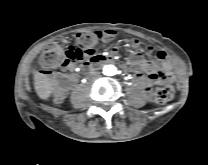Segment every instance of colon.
I'll use <instances>...</instances> for the list:
<instances>
[{"label": "colon", "instance_id": "obj_1", "mask_svg": "<svg viewBox=\"0 0 208 165\" xmlns=\"http://www.w3.org/2000/svg\"><path fill=\"white\" fill-rule=\"evenodd\" d=\"M117 36L110 31H87L80 32L75 36V42L67 49L59 42L49 44L42 53L39 62V72L52 77L54 70L65 68L68 63L80 62L81 59L95 55L94 47L100 41H110ZM134 49L142 47L141 42L134 40L131 43ZM148 54L153 52V47L146 48ZM58 91L62 88L58 85ZM174 96V89L171 86H165L158 89L154 99L157 103L163 104L171 100Z\"/></svg>", "mask_w": 208, "mask_h": 165}]
</instances>
